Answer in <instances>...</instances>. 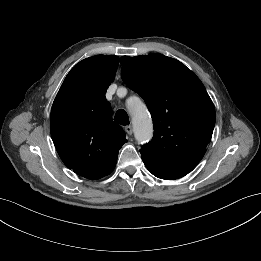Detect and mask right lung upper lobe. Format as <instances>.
Instances as JSON below:
<instances>
[{
	"label": "right lung upper lobe",
	"mask_w": 261,
	"mask_h": 261,
	"mask_svg": "<svg viewBox=\"0 0 261 261\" xmlns=\"http://www.w3.org/2000/svg\"><path fill=\"white\" fill-rule=\"evenodd\" d=\"M119 58L98 55L76 64L53 102L50 131L55 148L75 173L96 180L110 174L125 132L112 121L105 93L115 78Z\"/></svg>",
	"instance_id": "obj_1"
}]
</instances>
